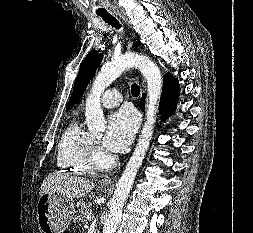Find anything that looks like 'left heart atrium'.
I'll return each mask as SVG.
<instances>
[{
  "mask_svg": "<svg viewBox=\"0 0 253 233\" xmlns=\"http://www.w3.org/2000/svg\"><path fill=\"white\" fill-rule=\"evenodd\" d=\"M137 116L130 109H121L114 113L108 122L103 144L112 152H120L131 143L137 129Z\"/></svg>",
  "mask_w": 253,
  "mask_h": 233,
  "instance_id": "left-heart-atrium-1",
  "label": "left heart atrium"
}]
</instances>
